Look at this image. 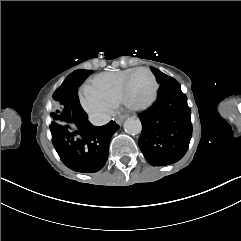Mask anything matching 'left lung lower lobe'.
I'll return each mask as SVG.
<instances>
[{"mask_svg": "<svg viewBox=\"0 0 241 241\" xmlns=\"http://www.w3.org/2000/svg\"><path fill=\"white\" fill-rule=\"evenodd\" d=\"M190 114L180 84L176 80L162 84L155 104L139 116V147L152 166L172 164L184 156L192 136Z\"/></svg>", "mask_w": 241, "mask_h": 241, "instance_id": "1", "label": "left lung lower lobe"}]
</instances>
